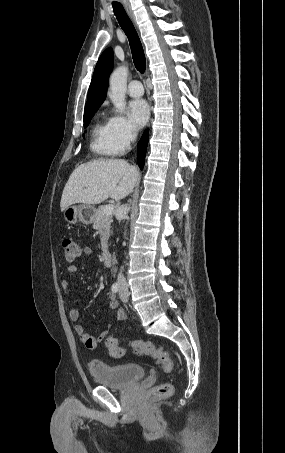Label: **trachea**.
Here are the masks:
<instances>
[{
  "instance_id": "trachea-1",
  "label": "trachea",
  "mask_w": 285,
  "mask_h": 453,
  "mask_svg": "<svg viewBox=\"0 0 285 453\" xmlns=\"http://www.w3.org/2000/svg\"><path fill=\"white\" fill-rule=\"evenodd\" d=\"M112 5L114 14L129 40L134 65L140 73H144L146 58L139 36L123 6L118 2H113Z\"/></svg>"
}]
</instances>
